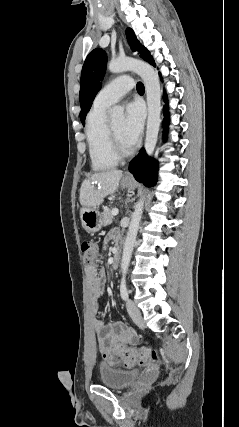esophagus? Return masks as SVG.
Masks as SVG:
<instances>
[{
	"label": "esophagus",
	"instance_id": "obj_1",
	"mask_svg": "<svg viewBox=\"0 0 239 427\" xmlns=\"http://www.w3.org/2000/svg\"><path fill=\"white\" fill-rule=\"evenodd\" d=\"M124 178L127 179V180H131L132 179V175L128 172V173H126V175H125Z\"/></svg>",
	"mask_w": 239,
	"mask_h": 427
}]
</instances>
